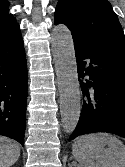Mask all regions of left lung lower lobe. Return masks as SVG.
Segmentation results:
<instances>
[{"instance_id":"left-lung-lower-lobe-1","label":"left lung lower lobe","mask_w":125,"mask_h":167,"mask_svg":"<svg viewBox=\"0 0 125 167\" xmlns=\"http://www.w3.org/2000/svg\"><path fill=\"white\" fill-rule=\"evenodd\" d=\"M73 41L78 78L86 98L79 122L68 140L94 132L125 138V47L109 39ZM84 76L85 82L80 80Z\"/></svg>"}]
</instances>
